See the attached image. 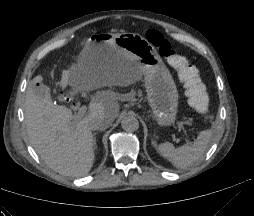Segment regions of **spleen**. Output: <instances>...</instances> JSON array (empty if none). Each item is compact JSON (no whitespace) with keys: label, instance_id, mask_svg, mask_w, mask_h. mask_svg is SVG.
<instances>
[{"label":"spleen","instance_id":"spleen-1","mask_svg":"<svg viewBox=\"0 0 254 216\" xmlns=\"http://www.w3.org/2000/svg\"><path fill=\"white\" fill-rule=\"evenodd\" d=\"M212 134L211 129L201 131L193 144H185L178 148H175L172 143L165 142L158 147V152L176 168L185 169L203 157Z\"/></svg>","mask_w":254,"mask_h":216}]
</instances>
